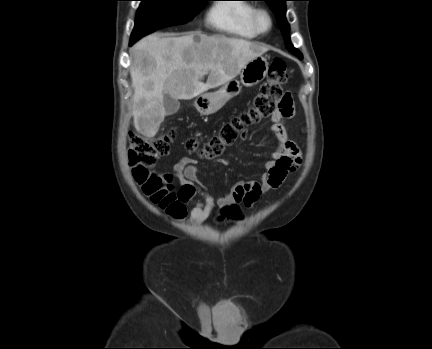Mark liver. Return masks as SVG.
Here are the masks:
<instances>
[{
	"label": "liver",
	"instance_id": "liver-1",
	"mask_svg": "<svg viewBox=\"0 0 432 349\" xmlns=\"http://www.w3.org/2000/svg\"><path fill=\"white\" fill-rule=\"evenodd\" d=\"M268 48L222 34L199 31L179 37L149 35L132 49L133 118L136 130L151 138L165 118L164 95L189 100L234 79ZM209 74L207 82L200 78Z\"/></svg>",
	"mask_w": 432,
	"mask_h": 349
}]
</instances>
